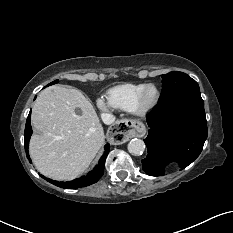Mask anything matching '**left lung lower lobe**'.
Listing matches in <instances>:
<instances>
[{
	"mask_svg": "<svg viewBox=\"0 0 233 233\" xmlns=\"http://www.w3.org/2000/svg\"><path fill=\"white\" fill-rule=\"evenodd\" d=\"M147 124L148 155L141 161L146 174L162 176L168 167L186 168L199 156L208 135L200 89L161 101L147 117Z\"/></svg>",
	"mask_w": 233,
	"mask_h": 233,
	"instance_id": "left-lung-lower-lobe-1",
	"label": "left lung lower lobe"
}]
</instances>
